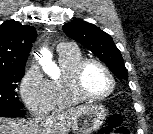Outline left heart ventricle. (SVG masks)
<instances>
[{
	"mask_svg": "<svg viewBox=\"0 0 153 134\" xmlns=\"http://www.w3.org/2000/svg\"><path fill=\"white\" fill-rule=\"evenodd\" d=\"M84 89L92 95L106 93L111 87V81L108 75L99 66L89 65L83 77Z\"/></svg>",
	"mask_w": 153,
	"mask_h": 134,
	"instance_id": "1",
	"label": "left heart ventricle"
}]
</instances>
